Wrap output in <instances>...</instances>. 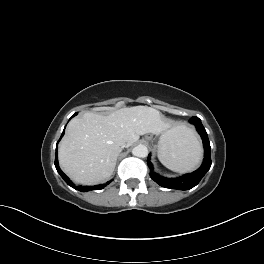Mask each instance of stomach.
<instances>
[{
    "label": "stomach",
    "mask_w": 264,
    "mask_h": 264,
    "mask_svg": "<svg viewBox=\"0 0 264 264\" xmlns=\"http://www.w3.org/2000/svg\"><path fill=\"white\" fill-rule=\"evenodd\" d=\"M146 139L151 140L152 137L147 136ZM168 141H169V137L165 133L162 134L160 136L159 141H158V145H157L158 150H159L160 146H162L164 143H167Z\"/></svg>",
    "instance_id": "stomach-1"
}]
</instances>
